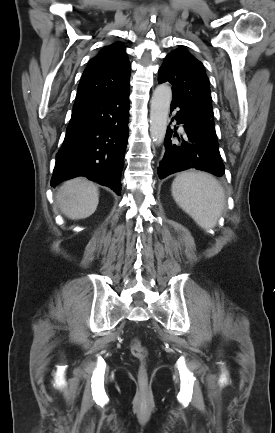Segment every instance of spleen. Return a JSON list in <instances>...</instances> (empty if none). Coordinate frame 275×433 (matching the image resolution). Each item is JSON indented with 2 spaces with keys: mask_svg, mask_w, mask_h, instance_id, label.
Segmentation results:
<instances>
[{
  "mask_svg": "<svg viewBox=\"0 0 275 433\" xmlns=\"http://www.w3.org/2000/svg\"><path fill=\"white\" fill-rule=\"evenodd\" d=\"M176 203L203 229L213 228L225 203L224 190L209 174L184 172L172 183Z\"/></svg>",
  "mask_w": 275,
  "mask_h": 433,
  "instance_id": "spleen-1",
  "label": "spleen"
}]
</instances>
